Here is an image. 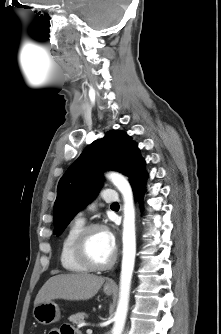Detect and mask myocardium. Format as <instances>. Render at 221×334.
Wrapping results in <instances>:
<instances>
[{
	"mask_svg": "<svg viewBox=\"0 0 221 334\" xmlns=\"http://www.w3.org/2000/svg\"><path fill=\"white\" fill-rule=\"evenodd\" d=\"M96 230L107 231V227L103 224L92 223L81 229L74 242V253L77 260L87 269L95 271L107 270L114 265L118 252L115 248L111 259L106 263L101 264L95 262L88 252V241L91 234Z\"/></svg>",
	"mask_w": 221,
	"mask_h": 334,
	"instance_id": "obj_1",
	"label": "myocardium"
}]
</instances>
